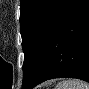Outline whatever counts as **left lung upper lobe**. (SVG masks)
<instances>
[{"mask_svg":"<svg viewBox=\"0 0 89 89\" xmlns=\"http://www.w3.org/2000/svg\"><path fill=\"white\" fill-rule=\"evenodd\" d=\"M73 0H21L20 29L24 52L23 86L35 77L52 35Z\"/></svg>","mask_w":89,"mask_h":89,"instance_id":"left-lung-upper-lobe-1","label":"left lung upper lobe"}]
</instances>
